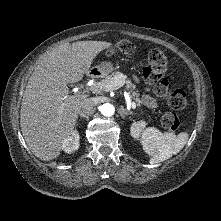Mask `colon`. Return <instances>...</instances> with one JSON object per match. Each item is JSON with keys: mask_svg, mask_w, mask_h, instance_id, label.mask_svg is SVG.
<instances>
[{"mask_svg": "<svg viewBox=\"0 0 221 221\" xmlns=\"http://www.w3.org/2000/svg\"><path fill=\"white\" fill-rule=\"evenodd\" d=\"M135 45L130 40L124 39L112 46L107 55L112 57L117 53L123 55L132 54ZM144 55L148 65L143 69L145 81L153 86L156 95L167 100L168 105L174 110L183 109L187 104L186 94L183 90L169 86L168 80L164 77L167 69V58L164 52L158 48L144 49ZM162 126L171 132L179 127V119L174 112H166L161 117Z\"/></svg>", "mask_w": 221, "mask_h": 221, "instance_id": "colon-1", "label": "colon"}]
</instances>
